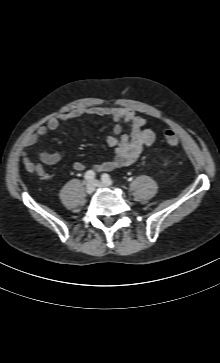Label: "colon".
Listing matches in <instances>:
<instances>
[{"mask_svg":"<svg viewBox=\"0 0 220 363\" xmlns=\"http://www.w3.org/2000/svg\"><path fill=\"white\" fill-rule=\"evenodd\" d=\"M164 137L169 146H176L179 143V137L173 130H167Z\"/></svg>","mask_w":220,"mask_h":363,"instance_id":"obj_1","label":"colon"}]
</instances>
